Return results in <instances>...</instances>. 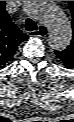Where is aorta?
Here are the masks:
<instances>
[{"label":"aorta","mask_w":74,"mask_h":122,"mask_svg":"<svg viewBox=\"0 0 74 122\" xmlns=\"http://www.w3.org/2000/svg\"><path fill=\"white\" fill-rule=\"evenodd\" d=\"M22 7L28 16L46 25L50 48L62 51L70 45L72 39L70 21L54 1H23Z\"/></svg>","instance_id":"1"}]
</instances>
